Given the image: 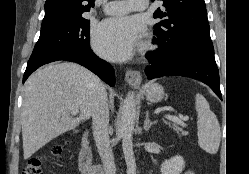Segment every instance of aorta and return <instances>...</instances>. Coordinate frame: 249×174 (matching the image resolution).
Segmentation results:
<instances>
[{
  "label": "aorta",
  "mask_w": 249,
  "mask_h": 174,
  "mask_svg": "<svg viewBox=\"0 0 249 174\" xmlns=\"http://www.w3.org/2000/svg\"><path fill=\"white\" fill-rule=\"evenodd\" d=\"M136 119V103L133 93H128L121 110L120 133L122 148L127 165V174H136L135 157L132 147L133 131Z\"/></svg>",
  "instance_id": "aorta-1"
}]
</instances>
